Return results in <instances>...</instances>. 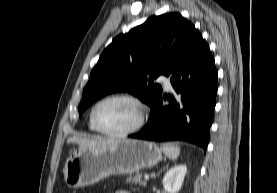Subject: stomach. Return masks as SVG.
I'll use <instances>...</instances> for the list:
<instances>
[{"label": "stomach", "instance_id": "stomach-1", "mask_svg": "<svg viewBox=\"0 0 277 193\" xmlns=\"http://www.w3.org/2000/svg\"><path fill=\"white\" fill-rule=\"evenodd\" d=\"M161 159L158 145L145 140L118 139L103 148L79 147L65 162L64 180L69 188L85 187L111 175L137 173Z\"/></svg>", "mask_w": 277, "mask_h": 193}]
</instances>
